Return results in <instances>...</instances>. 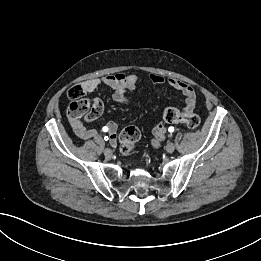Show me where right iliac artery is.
Returning <instances> with one entry per match:
<instances>
[{"label": "right iliac artery", "mask_w": 261, "mask_h": 261, "mask_svg": "<svg viewBox=\"0 0 261 261\" xmlns=\"http://www.w3.org/2000/svg\"><path fill=\"white\" fill-rule=\"evenodd\" d=\"M107 130H108L107 127H103V131H104V132H107ZM104 140H106V141L109 140L108 136H105V137H104Z\"/></svg>", "instance_id": "obj_1"}]
</instances>
